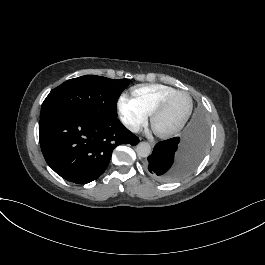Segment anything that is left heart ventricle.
Returning a JSON list of instances; mask_svg holds the SVG:
<instances>
[{"instance_id":"left-heart-ventricle-1","label":"left heart ventricle","mask_w":265,"mask_h":265,"mask_svg":"<svg viewBox=\"0 0 265 265\" xmlns=\"http://www.w3.org/2000/svg\"><path fill=\"white\" fill-rule=\"evenodd\" d=\"M188 100L183 94L172 96L162 108L157 125L160 129H168L175 126L183 117Z\"/></svg>"}]
</instances>
